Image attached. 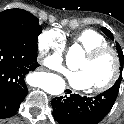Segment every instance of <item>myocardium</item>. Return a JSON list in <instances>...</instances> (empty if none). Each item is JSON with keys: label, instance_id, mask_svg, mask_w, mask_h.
I'll return each mask as SVG.
<instances>
[{"label": "myocardium", "instance_id": "obj_1", "mask_svg": "<svg viewBox=\"0 0 124 124\" xmlns=\"http://www.w3.org/2000/svg\"><path fill=\"white\" fill-rule=\"evenodd\" d=\"M105 53H110L112 55L113 60H114V69H113V73L111 77L104 84L91 88V92L97 93V94L103 93L111 89L116 84L118 79L120 78V75L122 72L121 58L117 50L109 45L94 47L86 51L84 57L88 59H96Z\"/></svg>", "mask_w": 124, "mask_h": 124}]
</instances>
